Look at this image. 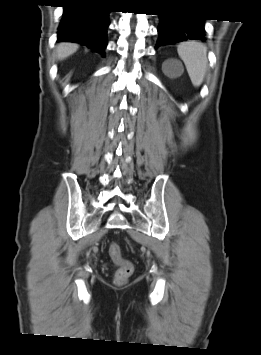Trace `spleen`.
Returning <instances> with one entry per match:
<instances>
[{"label":"spleen","mask_w":261,"mask_h":355,"mask_svg":"<svg viewBox=\"0 0 261 355\" xmlns=\"http://www.w3.org/2000/svg\"><path fill=\"white\" fill-rule=\"evenodd\" d=\"M177 51L186 66L192 84L199 87L206 75L207 47L200 42L189 41L179 44Z\"/></svg>","instance_id":"obj_1"}]
</instances>
